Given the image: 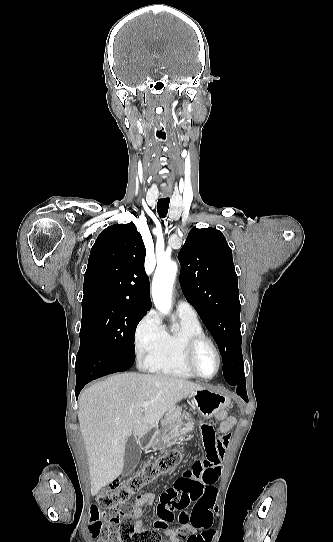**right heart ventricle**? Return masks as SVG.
Segmentation results:
<instances>
[{
  "mask_svg": "<svg viewBox=\"0 0 333 542\" xmlns=\"http://www.w3.org/2000/svg\"><path fill=\"white\" fill-rule=\"evenodd\" d=\"M177 316L179 323L174 324L170 331L163 327L164 337L160 343L138 351V364L145 371L191 379L193 375L183 362L184 345L188 339L204 335V331L198 319Z\"/></svg>",
  "mask_w": 333,
  "mask_h": 542,
  "instance_id": "obj_1",
  "label": "right heart ventricle"
}]
</instances>
